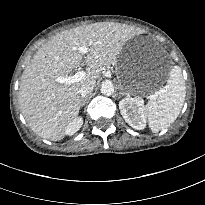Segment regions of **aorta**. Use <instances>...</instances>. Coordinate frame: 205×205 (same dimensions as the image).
Here are the masks:
<instances>
[{"instance_id": "obj_1", "label": "aorta", "mask_w": 205, "mask_h": 205, "mask_svg": "<svg viewBox=\"0 0 205 205\" xmlns=\"http://www.w3.org/2000/svg\"><path fill=\"white\" fill-rule=\"evenodd\" d=\"M114 92V85L111 81L105 80L101 84V93L104 95H112Z\"/></svg>"}]
</instances>
